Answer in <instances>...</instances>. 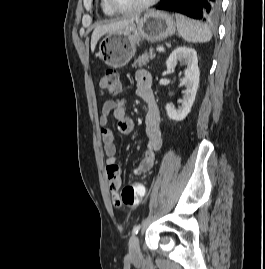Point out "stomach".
Segmentation results:
<instances>
[{"label": "stomach", "mask_w": 265, "mask_h": 269, "mask_svg": "<svg viewBox=\"0 0 265 269\" xmlns=\"http://www.w3.org/2000/svg\"><path fill=\"white\" fill-rule=\"evenodd\" d=\"M175 31L176 22L172 15L151 10L121 31L107 33L99 43L100 58L110 67H124L135 55L136 44L141 40L161 41Z\"/></svg>", "instance_id": "1"}]
</instances>
